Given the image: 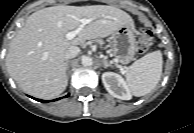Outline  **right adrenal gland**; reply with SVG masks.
I'll return each instance as SVG.
<instances>
[{"label": "right adrenal gland", "mask_w": 194, "mask_h": 133, "mask_svg": "<svg viewBox=\"0 0 194 133\" xmlns=\"http://www.w3.org/2000/svg\"><path fill=\"white\" fill-rule=\"evenodd\" d=\"M66 68H67V71L69 73V61L66 62Z\"/></svg>", "instance_id": "1"}]
</instances>
